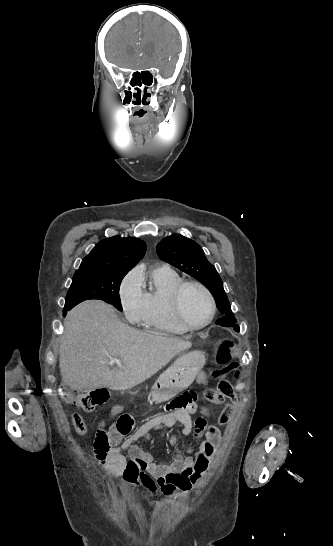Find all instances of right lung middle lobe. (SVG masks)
I'll use <instances>...</instances> for the list:
<instances>
[{"instance_id": "obj_1", "label": "right lung middle lobe", "mask_w": 333, "mask_h": 546, "mask_svg": "<svg viewBox=\"0 0 333 546\" xmlns=\"http://www.w3.org/2000/svg\"><path fill=\"white\" fill-rule=\"evenodd\" d=\"M129 270L94 267L81 275H75L66 296L64 311L89 299H99L122 311L119 288Z\"/></svg>"}]
</instances>
